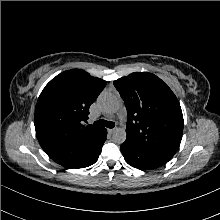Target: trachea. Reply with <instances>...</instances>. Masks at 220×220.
I'll use <instances>...</instances> for the list:
<instances>
[{
    "label": "trachea",
    "mask_w": 220,
    "mask_h": 220,
    "mask_svg": "<svg viewBox=\"0 0 220 220\" xmlns=\"http://www.w3.org/2000/svg\"><path fill=\"white\" fill-rule=\"evenodd\" d=\"M94 124L96 126H102V127H107V128H114L115 127L114 122L106 121V120H103V119H100V120L94 122Z\"/></svg>",
    "instance_id": "3493384b"
}]
</instances>
